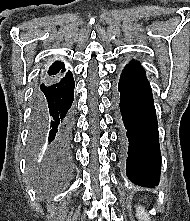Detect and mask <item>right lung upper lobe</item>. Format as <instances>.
I'll use <instances>...</instances> for the list:
<instances>
[{"label":"right lung upper lobe","instance_id":"obj_1","mask_svg":"<svg viewBox=\"0 0 190 221\" xmlns=\"http://www.w3.org/2000/svg\"><path fill=\"white\" fill-rule=\"evenodd\" d=\"M67 73H70V71H66L64 63H62L61 61H57L49 67L47 73L44 74L43 77L44 80H46L54 77H60Z\"/></svg>","mask_w":190,"mask_h":221}]
</instances>
